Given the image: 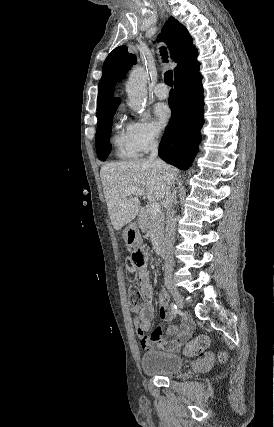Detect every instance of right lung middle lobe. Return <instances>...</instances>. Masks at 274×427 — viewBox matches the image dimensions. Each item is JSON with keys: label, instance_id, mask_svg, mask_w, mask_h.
I'll return each instance as SVG.
<instances>
[{"label": "right lung middle lobe", "instance_id": "obj_1", "mask_svg": "<svg viewBox=\"0 0 274 427\" xmlns=\"http://www.w3.org/2000/svg\"><path fill=\"white\" fill-rule=\"evenodd\" d=\"M117 107L118 104L96 113L98 119L96 131V149L98 159L101 161L106 160L111 150L109 145V138L112 131L111 120Z\"/></svg>", "mask_w": 274, "mask_h": 427}]
</instances>
